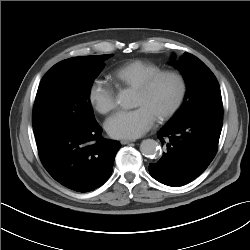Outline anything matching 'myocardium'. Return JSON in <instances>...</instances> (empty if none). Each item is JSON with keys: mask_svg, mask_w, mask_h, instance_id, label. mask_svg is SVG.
<instances>
[{"mask_svg": "<svg viewBox=\"0 0 250 250\" xmlns=\"http://www.w3.org/2000/svg\"><path fill=\"white\" fill-rule=\"evenodd\" d=\"M169 77L173 78L178 84V92L175 100L171 104V106L162 112L156 120L158 122H164L170 119L181 107L187 92V84L184 76L174 70H160L155 74L146 78L138 87H136V91L141 95H146L154 86V84L161 78Z\"/></svg>", "mask_w": 250, "mask_h": 250, "instance_id": "obj_1", "label": "myocardium"}]
</instances>
